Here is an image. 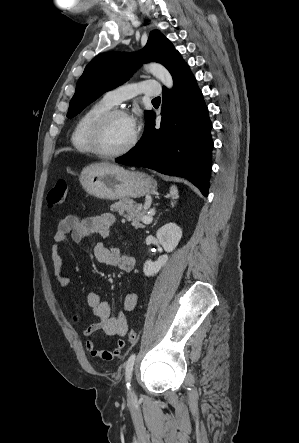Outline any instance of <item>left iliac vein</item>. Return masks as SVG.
Listing matches in <instances>:
<instances>
[{"label": "left iliac vein", "instance_id": "4c4485c4", "mask_svg": "<svg viewBox=\"0 0 299 443\" xmlns=\"http://www.w3.org/2000/svg\"><path fill=\"white\" fill-rule=\"evenodd\" d=\"M133 394H134V392H133V388L129 389V391H128V396H129V397H132Z\"/></svg>", "mask_w": 299, "mask_h": 443}]
</instances>
